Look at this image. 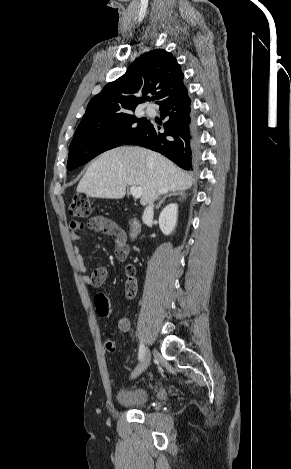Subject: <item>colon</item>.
I'll return each instance as SVG.
<instances>
[{
    "instance_id": "5ec220e1",
    "label": "colon",
    "mask_w": 291,
    "mask_h": 469,
    "mask_svg": "<svg viewBox=\"0 0 291 469\" xmlns=\"http://www.w3.org/2000/svg\"><path fill=\"white\" fill-rule=\"evenodd\" d=\"M69 213L71 216L78 219H86L91 214V205L89 198L84 194H77L74 196L72 203L69 206ZM128 253V248L125 246L118 250L117 257L123 258ZM125 276L127 279V284L129 291L134 293L136 289V283L134 280L135 268L133 265L125 266ZM92 303L96 305V311L100 313V318L102 320H107L109 318V313L112 311L111 298L109 293H102L98 291L95 296L92 298ZM104 345L107 351L115 352L116 346L113 340L109 336H105Z\"/></svg>"
}]
</instances>
